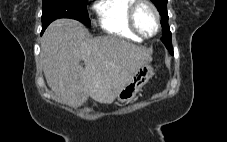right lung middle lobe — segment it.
Wrapping results in <instances>:
<instances>
[{
  "instance_id": "right-lung-middle-lobe-1",
  "label": "right lung middle lobe",
  "mask_w": 227,
  "mask_h": 142,
  "mask_svg": "<svg viewBox=\"0 0 227 142\" xmlns=\"http://www.w3.org/2000/svg\"><path fill=\"white\" fill-rule=\"evenodd\" d=\"M88 0H43L42 1V32L58 18H70L90 25L87 13Z\"/></svg>"
}]
</instances>
